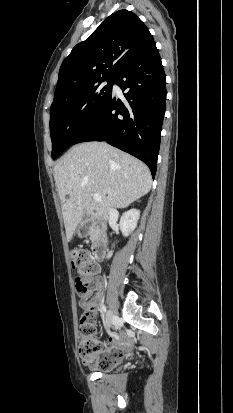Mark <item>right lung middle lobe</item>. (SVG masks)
<instances>
[{
	"label": "right lung middle lobe",
	"instance_id": "obj_1",
	"mask_svg": "<svg viewBox=\"0 0 233 413\" xmlns=\"http://www.w3.org/2000/svg\"><path fill=\"white\" fill-rule=\"evenodd\" d=\"M107 81V85L101 83ZM113 78L104 79L52 103L50 134L55 159L88 128L112 95Z\"/></svg>",
	"mask_w": 233,
	"mask_h": 413
}]
</instances>
